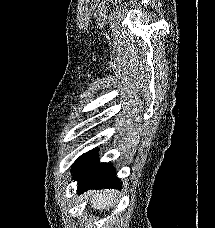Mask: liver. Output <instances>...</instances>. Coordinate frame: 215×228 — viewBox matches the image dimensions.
Returning a JSON list of instances; mask_svg holds the SVG:
<instances>
[{
    "mask_svg": "<svg viewBox=\"0 0 215 228\" xmlns=\"http://www.w3.org/2000/svg\"><path fill=\"white\" fill-rule=\"evenodd\" d=\"M115 194H117L116 190H99V192L91 190L87 194V200L93 210L103 212V210H109L115 206Z\"/></svg>",
    "mask_w": 215,
    "mask_h": 228,
    "instance_id": "6515ba94",
    "label": "liver"
}]
</instances>
